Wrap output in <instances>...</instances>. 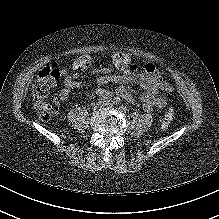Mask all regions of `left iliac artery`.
Instances as JSON below:
<instances>
[{
	"label": "left iliac artery",
	"mask_w": 219,
	"mask_h": 219,
	"mask_svg": "<svg viewBox=\"0 0 219 219\" xmlns=\"http://www.w3.org/2000/svg\"><path fill=\"white\" fill-rule=\"evenodd\" d=\"M120 98H118V97H116V98H114L113 99V103L115 104V105H119L120 104Z\"/></svg>",
	"instance_id": "left-iliac-artery-1"
}]
</instances>
